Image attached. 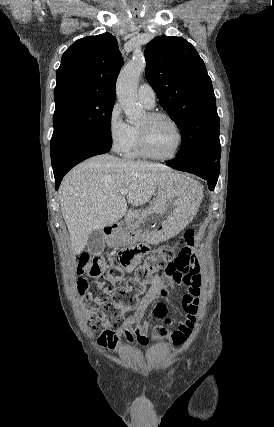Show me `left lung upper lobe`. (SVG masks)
Returning a JSON list of instances; mask_svg holds the SVG:
<instances>
[{
	"label": "left lung upper lobe",
	"instance_id": "obj_1",
	"mask_svg": "<svg viewBox=\"0 0 274 427\" xmlns=\"http://www.w3.org/2000/svg\"><path fill=\"white\" fill-rule=\"evenodd\" d=\"M145 76L182 135L177 158L221 153L216 99L205 64L181 37L159 36L145 49Z\"/></svg>",
	"mask_w": 274,
	"mask_h": 427
}]
</instances>
